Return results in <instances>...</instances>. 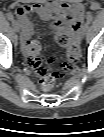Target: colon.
I'll return each mask as SVG.
<instances>
[{
    "label": "colon",
    "instance_id": "colon-1",
    "mask_svg": "<svg viewBox=\"0 0 104 137\" xmlns=\"http://www.w3.org/2000/svg\"><path fill=\"white\" fill-rule=\"evenodd\" d=\"M58 44L66 49V59L62 64L65 70H68L78 60L79 46L72 39L71 35L65 31L57 34ZM28 64L34 72L40 77V88L43 91H49L55 85L59 75L50 67V59H46L42 53V46L39 41H30L27 48Z\"/></svg>",
    "mask_w": 104,
    "mask_h": 137
}]
</instances>
